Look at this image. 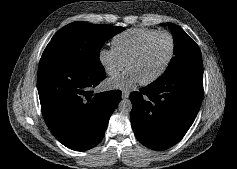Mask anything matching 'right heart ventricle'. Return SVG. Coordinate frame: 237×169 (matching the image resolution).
Returning a JSON list of instances; mask_svg holds the SVG:
<instances>
[{"mask_svg": "<svg viewBox=\"0 0 237 169\" xmlns=\"http://www.w3.org/2000/svg\"><path fill=\"white\" fill-rule=\"evenodd\" d=\"M156 32L157 30L149 28H134L126 30L113 38L112 47L123 61L126 62L142 42Z\"/></svg>", "mask_w": 237, "mask_h": 169, "instance_id": "right-heart-ventricle-1", "label": "right heart ventricle"}]
</instances>
